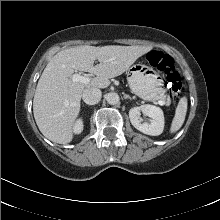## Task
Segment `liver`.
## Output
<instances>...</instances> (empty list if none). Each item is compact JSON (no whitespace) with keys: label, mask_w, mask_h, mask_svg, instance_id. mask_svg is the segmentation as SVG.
<instances>
[{"label":"liver","mask_w":220,"mask_h":220,"mask_svg":"<svg viewBox=\"0 0 220 220\" xmlns=\"http://www.w3.org/2000/svg\"><path fill=\"white\" fill-rule=\"evenodd\" d=\"M151 49V46L85 45L54 55L38 81L33 99L34 118L41 133L52 142L70 143L83 91L91 87L107 88L110 78L123 74ZM95 60L99 64L94 65ZM75 71L90 72L96 77L88 84L73 82Z\"/></svg>","instance_id":"6515ba94"}]
</instances>
